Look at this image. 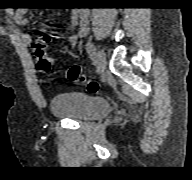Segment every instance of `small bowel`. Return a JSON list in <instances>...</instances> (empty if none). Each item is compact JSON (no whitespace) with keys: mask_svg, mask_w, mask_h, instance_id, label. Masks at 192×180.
<instances>
[{"mask_svg":"<svg viewBox=\"0 0 192 180\" xmlns=\"http://www.w3.org/2000/svg\"><path fill=\"white\" fill-rule=\"evenodd\" d=\"M25 10H18L14 15V21L18 25H25L27 20L25 18ZM88 34V13L85 10L75 9L71 13V32L69 34L68 40L72 47H75L78 39L80 37H84ZM21 40L30 44L32 41V37L29 33L21 32L20 33Z\"/></svg>","mask_w":192,"mask_h":180,"instance_id":"1","label":"small bowel"}]
</instances>
